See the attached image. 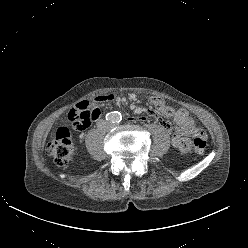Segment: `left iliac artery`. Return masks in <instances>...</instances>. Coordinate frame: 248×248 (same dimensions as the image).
Segmentation results:
<instances>
[{"instance_id":"1","label":"left iliac artery","mask_w":248,"mask_h":248,"mask_svg":"<svg viewBox=\"0 0 248 248\" xmlns=\"http://www.w3.org/2000/svg\"><path fill=\"white\" fill-rule=\"evenodd\" d=\"M115 117H116V122H120V121L122 120V115H121V113H118V112H117V114L115 115Z\"/></svg>"}]
</instances>
